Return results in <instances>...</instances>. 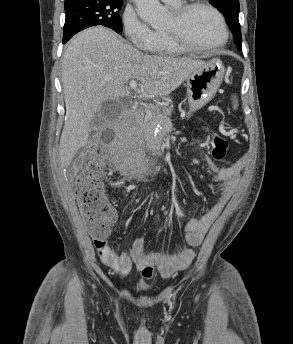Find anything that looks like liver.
I'll return each mask as SVG.
<instances>
[{
  "label": "liver",
  "instance_id": "6515ba94",
  "mask_svg": "<svg viewBox=\"0 0 293 344\" xmlns=\"http://www.w3.org/2000/svg\"><path fill=\"white\" fill-rule=\"evenodd\" d=\"M204 63L188 57L144 54L104 27L79 33L62 60L66 104L59 144L62 166H69L76 152L87 145L91 121L101 105L127 95L129 80L141 83L146 98L166 96Z\"/></svg>",
  "mask_w": 293,
  "mask_h": 344
}]
</instances>
